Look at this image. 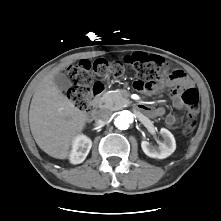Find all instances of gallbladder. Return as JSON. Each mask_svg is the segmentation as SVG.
<instances>
[{
  "instance_id": "1",
  "label": "gallbladder",
  "mask_w": 221,
  "mask_h": 221,
  "mask_svg": "<svg viewBox=\"0 0 221 221\" xmlns=\"http://www.w3.org/2000/svg\"><path fill=\"white\" fill-rule=\"evenodd\" d=\"M54 83L60 90H67L71 85L70 80L63 73L55 74Z\"/></svg>"
}]
</instances>
